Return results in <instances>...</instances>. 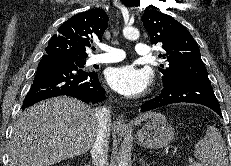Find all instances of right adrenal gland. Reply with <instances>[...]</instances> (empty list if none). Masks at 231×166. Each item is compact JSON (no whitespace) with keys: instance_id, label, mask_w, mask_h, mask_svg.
<instances>
[{"instance_id":"right-adrenal-gland-1","label":"right adrenal gland","mask_w":231,"mask_h":166,"mask_svg":"<svg viewBox=\"0 0 231 166\" xmlns=\"http://www.w3.org/2000/svg\"><path fill=\"white\" fill-rule=\"evenodd\" d=\"M85 166H91V165H87V164H85Z\"/></svg>"}]
</instances>
